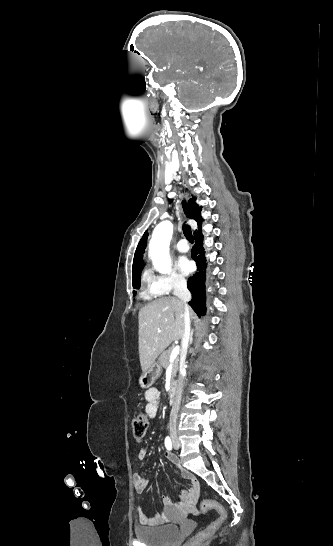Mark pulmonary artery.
Segmentation results:
<instances>
[{
	"label": "pulmonary artery",
	"instance_id": "e3ab8cb5",
	"mask_svg": "<svg viewBox=\"0 0 333 546\" xmlns=\"http://www.w3.org/2000/svg\"><path fill=\"white\" fill-rule=\"evenodd\" d=\"M176 248L181 253L188 252L189 250V246L185 239H181L180 241H178V243L176 244Z\"/></svg>",
	"mask_w": 333,
	"mask_h": 546
}]
</instances>
